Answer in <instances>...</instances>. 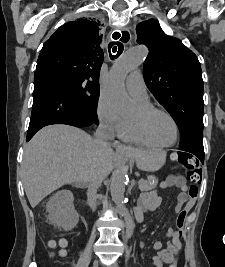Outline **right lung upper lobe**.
Wrapping results in <instances>:
<instances>
[{
	"label": "right lung upper lobe",
	"instance_id": "obj_1",
	"mask_svg": "<svg viewBox=\"0 0 225 267\" xmlns=\"http://www.w3.org/2000/svg\"><path fill=\"white\" fill-rule=\"evenodd\" d=\"M99 24L79 19L58 28L45 42L37 60L36 71L63 73L93 79L98 77L103 62Z\"/></svg>",
	"mask_w": 225,
	"mask_h": 267
}]
</instances>
